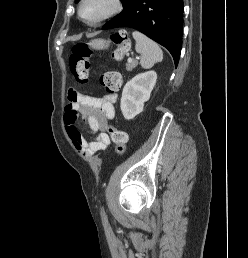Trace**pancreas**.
Listing matches in <instances>:
<instances>
[{
  "instance_id": "cf45deb5",
  "label": "pancreas",
  "mask_w": 248,
  "mask_h": 258,
  "mask_svg": "<svg viewBox=\"0 0 248 258\" xmlns=\"http://www.w3.org/2000/svg\"><path fill=\"white\" fill-rule=\"evenodd\" d=\"M138 65V62L136 60L132 61V62H128L126 64V70L127 71H132L133 69H135Z\"/></svg>"
}]
</instances>
